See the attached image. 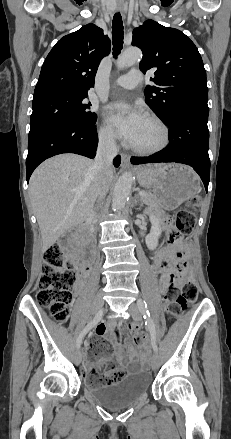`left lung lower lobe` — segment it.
Instances as JSON below:
<instances>
[{
  "label": "left lung lower lobe",
  "instance_id": "1",
  "mask_svg": "<svg viewBox=\"0 0 231 439\" xmlns=\"http://www.w3.org/2000/svg\"><path fill=\"white\" fill-rule=\"evenodd\" d=\"M208 105H185L171 113L169 145L149 157H132L135 165L151 162H176L189 165L201 177L206 191L210 178Z\"/></svg>",
  "mask_w": 231,
  "mask_h": 439
}]
</instances>
